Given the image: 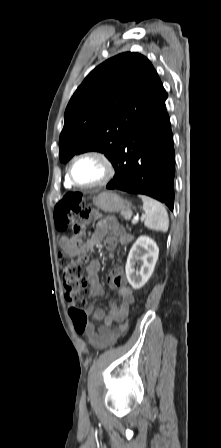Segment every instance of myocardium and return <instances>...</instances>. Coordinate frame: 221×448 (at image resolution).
<instances>
[{
    "label": "myocardium",
    "mask_w": 221,
    "mask_h": 448,
    "mask_svg": "<svg viewBox=\"0 0 221 448\" xmlns=\"http://www.w3.org/2000/svg\"><path fill=\"white\" fill-rule=\"evenodd\" d=\"M84 157L96 158L103 164V166L105 168V175L98 182H95L92 184H81L74 179V177H73L74 164L77 160L84 158ZM115 174H116V167H115L113 161L111 160V158L107 154H105L101 151H96V150L86 151V152H83V153L75 156L73 158V160L71 161V163L68 167V171H67V177H68L69 182L73 186H76L79 188H84V189L97 188V187L107 185L109 182H111L113 180Z\"/></svg>",
    "instance_id": "obj_1"
}]
</instances>
